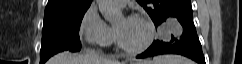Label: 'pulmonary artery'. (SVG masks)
<instances>
[{"mask_svg": "<svg viewBox=\"0 0 242 64\" xmlns=\"http://www.w3.org/2000/svg\"><path fill=\"white\" fill-rule=\"evenodd\" d=\"M114 2H115L116 5H118L119 7H124V6L128 3V0H115Z\"/></svg>", "mask_w": 242, "mask_h": 64, "instance_id": "e3ab8cb5", "label": "pulmonary artery"}]
</instances>
